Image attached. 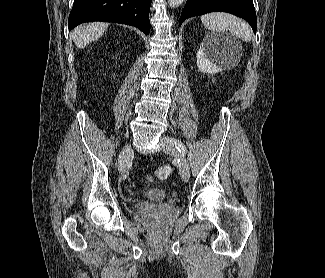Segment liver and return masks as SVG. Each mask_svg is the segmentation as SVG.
Segmentation results:
<instances>
[{
  "instance_id": "6515ba94",
  "label": "liver",
  "mask_w": 325,
  "mask_h": 278,
  "mask_svg": "<svg viewBox=\"0 0 325 278\" xmlns=\"http://www.w3.org/2000/svg\"><path fill=\"white\" fill-rule=\"evenodd\" d=\"M108 27L107 23L94 22L77 27L72 34L75 45L82 49L89 43L99 39Z\"/></svg>"
}]
</instances>
